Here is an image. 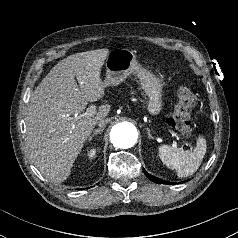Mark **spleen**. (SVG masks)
I'll list each match as a JSON object with an SVG mask.
<instances>
[{
	"label": "spleen",
	"instance_id": "spleen-1",
	"mask_svg": "<svg viewBox=\"0 0 238 238\" xmlns=\"http://www.w3.org/2000/svg\"><path fill=\"white\" fill-rule=\"evenodd\" d=\"M206 139L199 136L193 151H180L168 145L159 147L158 153L161 161L168 167L177 171L178 177H187L197 171L206 154Z\"/></svg>",
	"mask_w": 238,
	"mask_h": 238
}]
</instances>
